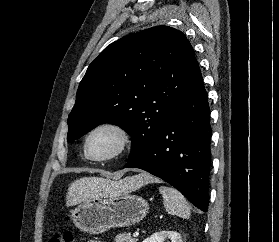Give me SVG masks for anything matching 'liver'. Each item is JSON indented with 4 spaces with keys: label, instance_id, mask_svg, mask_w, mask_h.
Listing matches in <instances>:
<instances>
[{
    "label": "liver",
    "instance_id": "obj_1",
    "mask_svg": "<svg viewBox=\"0 0 279 242\" xmlns=\"http://www.w3.org/2000/svg\"><path fill=\"white\" fill-rule=\"evenodd\" d=\"M154 181L155 179L148 174L126 178L119 183L101 177H84L70 184L66 196V205L72 206L89 198L107 196L118 187L133 191Z\"/></svg>",
    "mask_w": 279,
    "mask_h": 242
}]
</instances>
